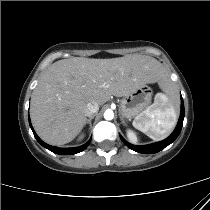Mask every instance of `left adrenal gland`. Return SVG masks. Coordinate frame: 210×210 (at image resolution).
Instances as JSON below:
<instances>
[{
    "instance_id": "left-adrenal-gland-1",
    "label": "left adrenal gland",
    "mask_w": 210,
    "mask_h": 210,
    "mask_svg": "<svg viewBox=\"0 0 210 210\" xmlns=\"http://www.w3.org/2000/svg\"><path fill=\"white\" fill-rule=\"evenodd\" d=\"M120 120H121L123 125H126V122L124 121V118L122 116H120Z\"/></svg>"
}]
</instances>
